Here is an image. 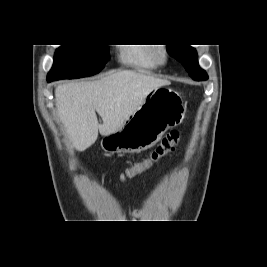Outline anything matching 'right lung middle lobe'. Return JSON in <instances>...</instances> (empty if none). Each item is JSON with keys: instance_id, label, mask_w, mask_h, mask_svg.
Wrapping results in <instances>:
<instances>
[{"instance_id": "obj_1", "label": "right lung middle lobe", "mask_w": 267, "mask_h": 267, "mask_svg": "<svg viewBox=\"0 0 267 267\" xmlns=\"http://www.w3.org/2000/svg\"><path fill=\"white\" fill-rule=\"evenodd\" d=\"M109 59L107 45H62L47 79L81 78L99 73Z\"/></svg>"}]
</instances>
